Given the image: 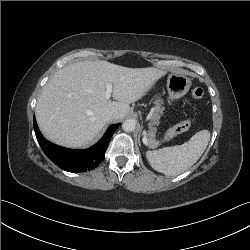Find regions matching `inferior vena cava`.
Returning <instances> with one entry per match:
<instances>
[{"mask_svg":"<svg viewBox=\"0 0 250 250\" xmlns=\"http://www.w3.org/2000/svg\"><path fill=\"white\" fill-rule=\"evenodd\" d=\"M115 117H116V114H115V112H113V111H110V112L107 113V115H106V118H107L108 121L114 119Z\"/></svg>","mask_w":250,"mask_h":250,"instance_id":"602c4592","label":"inferior vena cava"}]
</instances>
